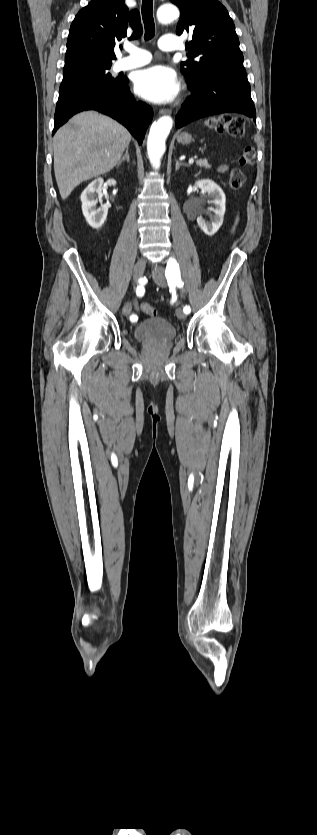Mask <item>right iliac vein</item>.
Returning <instances> with one entry per match:
<instances>
[{
	"mask_svg": "<svg viewBox=\"0 0 317 835\" xmlns=\"http://www.w3.org/2000/svg\"><path fill=\"white\" fill-rule=\"evenodd\" d=\"M145 267H146L145 259L141 258L136 262V264L134 266V271H133V277H134L135 281H137L139 278L142 277V275L144 273V270H145ZM130 312H131V306L129 304H126L122 309V313L125 316H128L130 314Z\"/></svg>",
	"mask_w": 317,
	"mask_h": 835,
	"instance_id": "right-iliac-vein-1",
	"label": "right iliac vein"
}]
</instances>
